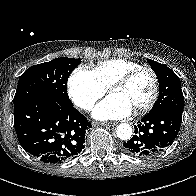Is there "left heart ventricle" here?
<instances>
[{
    "label": "left heart ventricle",
    "mask_w": 196,
    "mask_h": 196,
    "mask_svg": "<svg viewBox=\"0 0 196 196\" xmlns=\"http://www.w3.org/2000/svg\"><path fill=\"white\" fill-rule=\"evenodd\" d=\"M153 90V79L148 72H141L135 76L127 85L111 91L115 95L129 104L132 110L144 105L150 98Z\"/></svg>",
    "instance_id": "left-heart-ventricle-1"
}]
</instances>
